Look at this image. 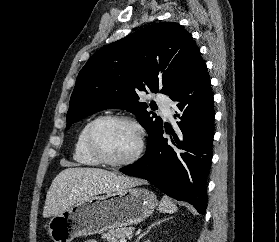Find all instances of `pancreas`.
I'll use <instances>...</instances> for the list:
<instances>
[{
	"instance_id": "obj_1",
	"label": "pancreas",
	"mask_w": 279,
	"mask_h": 242,
	"mask_svg": "<svg viewBox=\"0 0 279 242\" xmlns=\"http://www.w3.org/2000/svg\"><path fill=\"white\" fill-rule=\"evenodd\" d=\"M132 234V227H121L110 229L107 233H103L101 237L107 242H120L121 239L131 237Z\"/></svg>"
}]
</instances>
